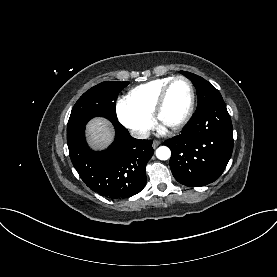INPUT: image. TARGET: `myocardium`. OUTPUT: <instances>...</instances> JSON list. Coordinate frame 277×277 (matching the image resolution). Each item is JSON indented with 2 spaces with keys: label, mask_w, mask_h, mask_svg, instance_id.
<instances>
[{
  "label": "myocardium",
  "mask_w": 277,
  "mask_h": 277,
  "mask_svg": "<svg viewBox=\"0 0 277 277\" xmlns=\"http://www.w3.org/2000/svg\"><path fill=\"white\" fill-rule=\"evenodd\" d=\"M179 80L186 82L187 85L189 86L190 102H189L188 109H187L186 113L184 114V116L182 117V119L180 121H178L176 124L168 127V129L171 131H178V130L182 129L188 123V121L191 119V117L194 113L195 104H196V92H195V88H194V85L191 82V80L182 75L173 77L161 90V92L155 102V105L153 107V111H152V116H153L154 120L157 123H160V115H161V112L165 105L169 90H170L171 86Z\"/></svg>",
  "instance_id": "obj_1"
}]
</instances>
